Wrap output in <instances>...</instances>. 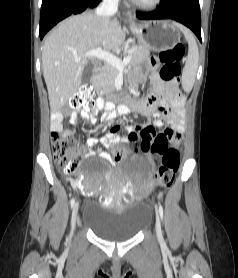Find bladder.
<instances>
[{
  "label": "bladder",
  "instance_id": "obj_1",
  "mask_svg": "<svg viewBox=\"0 0 238 278\" xmlns=\"http://www.w3.org/2000/svg\"><path fill=\"white\" fill-rule=\"evenodd\" d=\"M151 219V206L138 204V201L125 205L120 211L100 203H84L81 214V223L87 230L97 238L110 242L135 238L150 224Z\"/></svg>",
  "mask_w": 238,
  "mask_h": 278
}]
</instances>
